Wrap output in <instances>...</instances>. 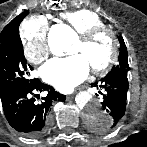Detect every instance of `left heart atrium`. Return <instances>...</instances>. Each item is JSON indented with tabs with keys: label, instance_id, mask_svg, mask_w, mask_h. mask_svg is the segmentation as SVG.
<instances>
[{
	"label": "left heart atrium",
	"instance_id": "1",
	"mask_svg": "<svg viewBox=\"0 0 147 147\" xmlns=\"http://www.w3.org/2000/svg\"><path fill=\"white\" fill-rule=\"evenodd\" d=\"M90 65L78 54L66 58H54L41 69L43 80L61 91H69L88 75Z\"/></svg>",
	"mask_w": 147,
	"mask_h": 147
}]
</instances>
